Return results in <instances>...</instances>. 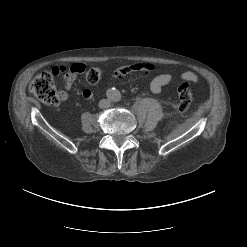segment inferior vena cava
Instances as JSON below:
<instances>
[{
  "instance_id": "602c4592",
  "label": "inferior vena cava",
  "mask_w": 247,
  "mask_h": 247,
  "mask_svg": "<svg viewBox=\"0 0 247 247\" xmlns=\"http://www.w3.org/2000/svg\"><path fill=\"white\" fill-rule=\"evenodd\" d=\"M98 105L101 109H105V108L110 107V101L108 99H102L99 101Z\"/></svg>"
}]
</instances>
